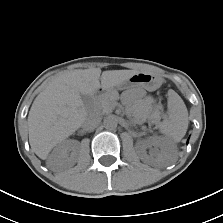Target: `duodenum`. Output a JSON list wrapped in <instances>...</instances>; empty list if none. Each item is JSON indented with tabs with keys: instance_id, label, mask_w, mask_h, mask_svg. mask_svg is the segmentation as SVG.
Masks as SVG:
<instances>
[{
	"instance_id": "1",
	"label": "duodenum",
	"mask_w": 223,
	"mask_h": 223,
	"mask_svg": "<svg viewBox=\"0 0 223 223\" xmlns=\"http://www.w3.org/2000/svg\"><path fill=\"white\" fill-rule=\"evenodd\" d=\"M103 91V88H98L97 90H96V94H99V93H101Z\"/></svg>"
}]
</instances>
